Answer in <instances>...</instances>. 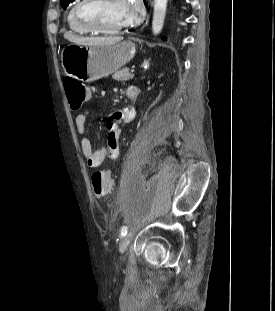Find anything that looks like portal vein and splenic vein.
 <instances>
[{
	"instance_id": "obj_1",
	"label": "portal vein and splenic vein",
	"mask_w": 275,
	"mask_h": 311,
	"mask_svg": "<svg viewBox=\"0 0 275 311\" xmlns=\"http://www.w3.org/2000/svg\"><path fill=\"white\" fill-rule=\"evenodd\" d=\"M135 70L134 69H131V73H133Z\"/></svg>"
}]
</instances>
